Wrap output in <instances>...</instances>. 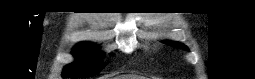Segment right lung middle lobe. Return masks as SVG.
<instances>
[{"label":"right lung middle lobe","instance_id":"dd1d6c3e","mask_svg":"<svg viewBox=\"0 0 255 79\" xmlns=\"http://www.w3.org/2000/svg\"><path fill=\"white\" fill-rule=\"evenodd\" d=\"M98 47L91 43H81L75 47L73 54L75 63L67 65L62 75L64 77H89L98 74L105 65L102 57L97 56Z\"/></svg>","mask_w":255,"mask_h":79}]
</instances>
